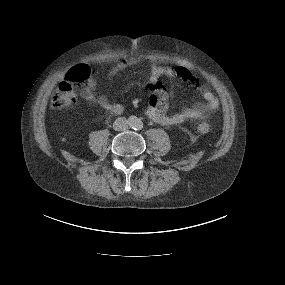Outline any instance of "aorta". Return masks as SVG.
Returning a JSON list of instances; mask_svg holds the SVG:
<instances>
[{"label": "aorta", "mask_w": 285, "mask_h": 285, "mask_svg": "<svg viewBox=\"0 0 285 285\" xmlns=\"http://www.w3.org/2000/svg\"><path fill=\"white\" fill-rule=\"evenodd\" d=\"M128 125L133 129H137L142 126V122L136 116H130L128 118Z\"/></svg>", "instance_id": "762f6f07"}]
</instances>
